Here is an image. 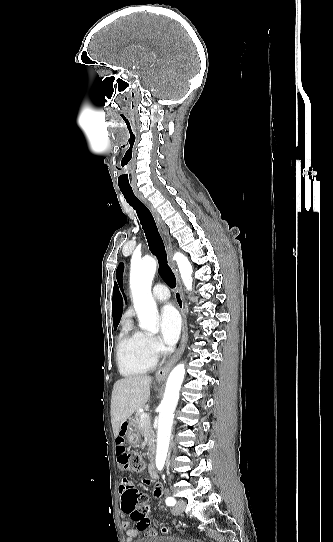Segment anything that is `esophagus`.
I'll return each mask as SVG.
<instances>
[{"label":"esophagus","instance_id":"34e87169","mask_svg":"<svg viewBox=\"0 0 333 542\" xmlns=\"http://www.w3.org/2000/svg\"><path fill=\"white\" fill-rule=\"evenodd\" d=\"M135 193H136L138 199H140L141 202H143V204H145L146 207H148V209L152 213V215H153V217L155 219V222L157 224V227L159 229V232H160V234H161V236H162V238L164 240L165 248H166V251H167L168 263H169L170 267L172 268V270H173V272L175 274L176 281H177V286H176V290H175V300L177 302L179 312L181 313L182 318H183L182 336H181V340L179 342V345H178V348H177L176 352L173 354L172 358L164 366L160 367L155 373L156 380L158 382H161L167 377V375L170 372V370L172 369V367L181 358V355L183 354L184 349L186 347V343H187V340H188L187 315H186V312H185V309H184V301H183V292H182L181 280H180L178 271H177V269L175 267V264H174V262L172 260L173 247H172V244H171V239L167 234L164 223H163L159 213L153 207L151 202H149L145 197H143V195L140 192H135Z\"/></svg>","mask_w":333,"mask_h":542}]
</instances>
